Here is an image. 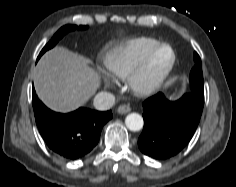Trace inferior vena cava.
I'll return each instance as SVG.
<instances>
[{
    "instance_id": "inferior-vena-cava-1",
    "label": "inferior vena cava",
    "mask_w": 236,
    "mask_h": 187,
    "mask_svg": "<svg viewBox=\"0 0 236 187\" xmlns=\"http://www.w3.org/2000/svg\"><path fill=\"white\" fill-rule=\"evenodd\" d=\"M115 103V96L108 92H99L93 101L94 107L97 110H109Z\"/></svg>"
}]
</instances>
